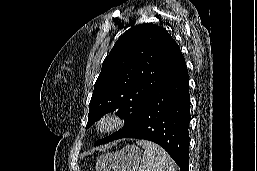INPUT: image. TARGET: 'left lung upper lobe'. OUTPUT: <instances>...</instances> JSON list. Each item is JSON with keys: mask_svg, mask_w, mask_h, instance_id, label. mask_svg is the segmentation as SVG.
Masks as SVG:
<instances>
[{"mask_svg": "<svg viewBox=\"0 0 257 171\" xmlns=\"http://www.w3.org/2000/svg\"><path fill=\"white\" fill-rule=\"evenodd\" d=\"M179 52L171 35L150 23L130 28L117 40L95 83L86 128L116 109L125 126L95 146L112 141L134 122Z\"/></svg>", "mask_w": 257, "mask_h": 171, "instance_id": "obj_1", "label": "left lung upper lobe"}]
</instances>
